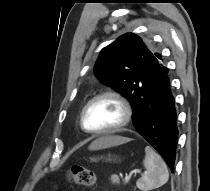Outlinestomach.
I'll return each mask as SVG.
<instances>
[{
	"label": "stomach",
	"mask_w": 210,
	"mask_h": 191,
	"mask_svg": "<svg viewBox=\"0 0 210 191\" xmlns=\"http://www.w3.org/2000/svg\"><path fill=\"white\" fill-rule=\"evenodd\" d=\"M100 159H103V157L101 158H95V159H92L93 161H97V160H100ZM117 160V157H114V156H111V155H108V157L106 158V161H116Z\"/></svg>",
	"instance_id": "0dacf381"
}]
</instances>
